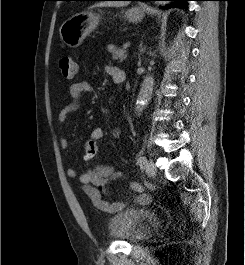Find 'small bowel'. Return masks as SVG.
Here are the masks:
<instances>
[{"label": "small bowel", "instance_id": "small-bowel-1", "mask_svg": "<svg viewBox=\"0 0 245 265\" xmlns=\"http://www.w3.org/2000/svg\"><path fill=\"white\" fill-rule=\"evenodd\" d=\"M105 72L108 74L114 82L118 83L119 80H125V73L118 67L108 65L105 67ZM93 91V87L87 81H78L70 86L71 102L67 104L58 114V123L63 125L67 119V116L79 109L81 98L85 94H90ZM105 135V131L102 127H95L90 133L89 142L97 143ZM60 146L63 149L70 147V142L66 138L60 139ZM66 174L71 178H78L81 189L90 198L92 204L99 210L106 213H116L126 206V202L123 200H117L109 202L103 199L102 194L109 193V186L111 183L124 179V175L118 172L114 167L106 164H98L91 169H88L81 174L75 167L69 166L66 170ZM129 188L136 193L133 201L140 205H145L151 201L150 196L145 192L142 184L132 181L129 183Z\"/></svg>", "mask_w": 245, "mask_h": 265}]
</instances>
